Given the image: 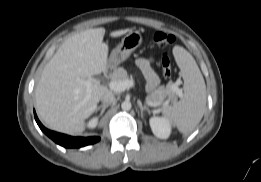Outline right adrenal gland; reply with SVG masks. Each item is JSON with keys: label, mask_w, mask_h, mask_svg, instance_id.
<instances>
[{"label": "right adrenal gland", "mask_w": 261, "mask_h": 182, "mask_svg": "<svg viewBox=\"0 0 261 182\" xmlns=\"http://www.w3.org/2000/svg\"><path fill=\"white\" fill-rule=\"evenodd\" d=\"M108 106L109 105L107 104H102L96 108L95 112H98L101 109L100 116H102Z\"/></svg>", "instance_id": "1"}]
</instances>
